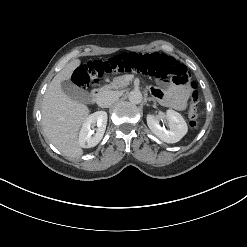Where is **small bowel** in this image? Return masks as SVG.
Masks as SVG:
<instances>
[{
  "mask_svg": "<svg viewBox=\"0 0 247 247\" xmlns=\"http://www.w3.org/2000/svg\"><path fill=\"white\" fill-rule=\"evenodd\" d=\"M151 91L167 107L176 110H184L186 107L185 93L177 85H169L164 89L152 87Z\"/></svg>",
  "mask_w": 247,
  "mask_h": 247,
  "instance_id": "c3829d8e",
  "label": "small bowel"
}]
</instances>
